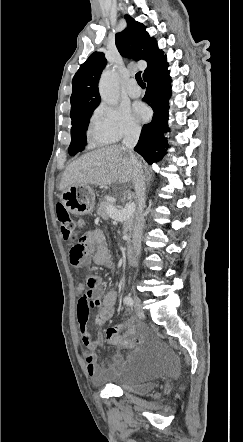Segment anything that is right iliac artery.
Here are the masks:
<instances>
[{
	"instance_id": "obj_1",
	"label": "right iliac artery",
	"mask_w": 243,
	"mask_h": 442,
	"mask_svg": "<svg viewBox=\"0 0 243 442\" xmlns=\"http://www.w3.org/2000/svg\"><path fill=\"white\" fill-rule=\"evenodd\" d=\"M124 304H126L129 307H132L133 306V299H132V297L131 296H126L124 298Z\"/></svg>"
}]
</instances>
